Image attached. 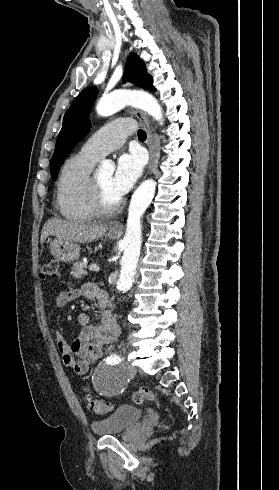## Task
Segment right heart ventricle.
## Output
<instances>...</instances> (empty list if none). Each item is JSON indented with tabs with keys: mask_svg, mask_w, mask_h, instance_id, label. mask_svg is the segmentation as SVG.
<instances>
[{
	"mask_svg": "<svg viewBox=\"0 0 279 490\" xmlns=\"http://www.w3.org/2000/svg\"><path fill=\"white\" fill-rule=\"evenodd\" d=\"M96 162L79 152L68 158L61 167L57 202L61 215L71 222H87L97 215L92 206L93 183L90 177Z\"/></svg>",
	"mask_w": 279,
	"mask_h": 490,
	"instance_id": "e07e8e85",
	"label": "right heart ventricle"
}]
</instances>
